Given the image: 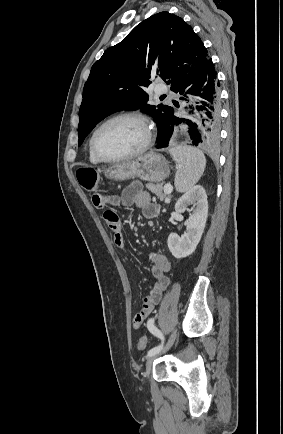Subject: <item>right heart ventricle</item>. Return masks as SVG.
I'll return each mask as SVG.
<instances>
[{
    "mask_svg": "<svg viewBox=\"0 0 283 434\" xmlns=\"http://www.w3.org/2000/svg\"><path fill=\"white\" fill-rule=\"evenodd\" d=\"M89 159L93 163H99L100 162V160L93 154L90 147H89Z\"/></svg>",
    "mask_w": 283,
    "mask_h": 434,
    "instance_id": "obj_1",
    "label": "right heart ventricle"
}]
</instances>
